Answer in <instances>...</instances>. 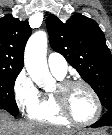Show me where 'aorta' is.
<instances>
[{
	"mask_svg": "<svg viewBox=\"0 0 112 135\" xmlns=\"http://www.w3.org/2000/svg\"><path fill=\"white\" fill-rule=\"evenodd\" d=\"M46 53L47 34L35 32L27 42L24 64L31 79L41 88H47L55 81L48 69Z\"/></svg>",
	"mask_w": 112,
	"mask_h": 135,
	"instance_id": "aorta-1",
	"label": "aorta"
}]
</instances>
